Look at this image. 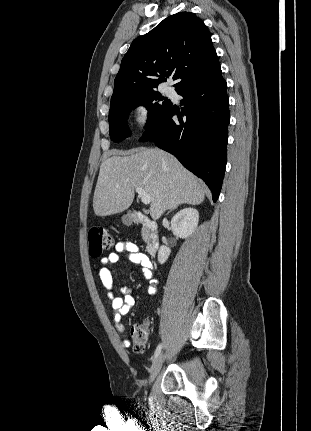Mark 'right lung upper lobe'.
Returning a JSON list of instances; mask_svg holds the SVG:
<instances>
[{
  "label": "right lung upper lobe",
  "mask_w": 311,
  "mask_h": 431,
  "mask_svg": "<svg viewBox=\"0 0 311 431\" xmlns=\"http://www.w3.org/2000/svg\"><path fill=\"white\" fill-rule=\"evenodd\" d=\"M219 69L203 21L191 12L177 13L132 42L114 80L111 99L155 91L172 74L178 90Z\"/></svg>",
  "instance_id": "1"
}]
</instances>
